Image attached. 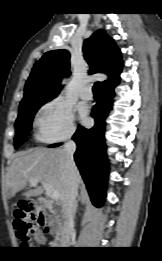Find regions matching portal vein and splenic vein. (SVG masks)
Returning a JSON list of instances; mask_svg holds the SVG:
<instances>
[{
    "label": "portal vein and splenic vein",
    "mask_w": 162,
    "mask_h": 261,
    "mask_svg": "<svg viewBox=\"0 0 162 261\" xmlns=\"http://www.w3.org/2000/svg\"><path fill=\"white\" fill-rule=\"evenodd\" d=\"M38 182H41L46 194L52 199L57 201L59 199V192L55 190L50 184L44 181H40L38 178L30 179L31 186H36Z\"/></svg>",
    "instance_id": "1"
}]
</instances>
